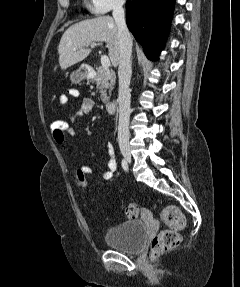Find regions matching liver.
<instances>
[{
  "label": "liver",
  "mask_w": 240,
  "mask_h": 287,
  "mask_svg": "<svg viewBox=\"0 0 240 287\" xmlns=\"http://www.w3.org/2000/svg\"><path fill=\"white\" fill-rule=\"evenodd\" d=\"M105 42L113 66L119 63V37L115 20L100 16L70 26L62 35L58 46L59 65L62 70L83 61L90 53L88 45Z\"/></svg>",
  "instance_id": "obj_1"
}]
</instances>
